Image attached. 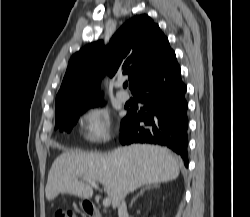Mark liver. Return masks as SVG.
I'll list each match as a JSON object with an SVG mask.
<instances>
[{
    "label": "liver",
    "instance_id": "liver-1",
    "mask_svg": "<svg viewBox=\"0 0 250 217\" xmlns=\"http://www.w3.org/2000/svg\"><path fill=\"white\" fill-rule=\"evenodd\" d=\"M178 175V160L160 146L133 144L107 154L70 151L53 162L45 193L48 201L59 194L89 199L93 189L82 181L89 178L105 187L116 208L122 197L141 186L172 181Z\"/></svg>",
    "mask_w": 250,
    "mask_h": 217
}]
</instances>
